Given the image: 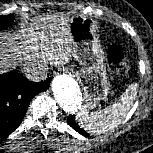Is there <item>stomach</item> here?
Wrapping results in <instances>:
<instances>
[{
  "mask_svg": "<svg viewBox=\"0 0 153 153\" xmlns=\"http://www.w3.org/2000/svg\"><path fill=\"white\" fill-rule=\"evenodd\" d=\"M69 29L73 57L83 66L76 77L83 87L87 106L94 108L111 90L103 48L96 33L97 24L90 17L75 15L69 20Z\"/></svg>",
  "mask_w": 153,
  "mask_h": 153,
  "instance_id": "stomach-1",
  "label": "stomach"
}]
</instances>
